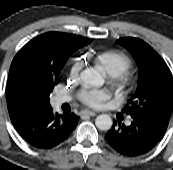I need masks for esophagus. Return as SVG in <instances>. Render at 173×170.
<instances>
[{
  "label": "esophagus",
  "instance_id": "obj_1",
  "mask_svg": "<svg viewBox=\"0 0 173 170\" xmlns=\"http://www.w3.org/2000/svg\"><path fill=\"white\" fill-rule=\"evenodd\" d=\"M87 114L92 117L96 116V113L94 111H88Z\"/></svg>",
  "mask_w": 173,
  "mask_h": 170
}]
</instances>
